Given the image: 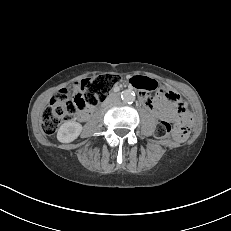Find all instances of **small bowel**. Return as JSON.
Instances as JSON below:
<instances>
[{
    "instance_id": "obj_1",
    "label": "small bowel",
    "mask_w": 231,
    "mask_h": 231,
    "mask_svg": "<svg viewBox=\"0 0 231 231\" xmlns=\"http://www.w3.org/2000/svg\"><path fill=\"white\" fill-rule=\"evenodd\" d=\"M144 78H147V79L155 82V80H153L151 78H148V77H144ZM166 90L170 93L171 100L166 99L168 102H166L163 105L160 104L158 101L153 100L150 97H148L147 94H143V97L148 99V104H145V105L150 109V111L152 112V114L155 117H161L163 115H169L172 112L174 105L180 103V97L175 91H173L171 89H166ZM86 117H87V113L81 114L82 119H85Z\"/></svg>"
}]
</instances>
